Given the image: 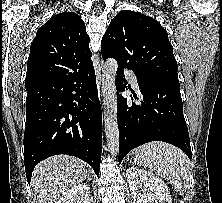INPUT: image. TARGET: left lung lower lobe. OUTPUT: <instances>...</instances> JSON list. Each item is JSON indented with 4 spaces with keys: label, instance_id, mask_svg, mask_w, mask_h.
<instances>
[{
    "label": "left lung lower lobe",
    "instance_id": "1",
    "mask_svg": "<svg viewBox=\"0 0 222 203\" xmlns=\"http://www.w3.org/2000/svg\"><path fill=\"white\" fill-rule=\"evenodd\" d=\"M116 89L125 91L124 69H117ZM141 105L117 98L119 126V163L132 149L150 142L163 141L183 150L192 158L188 128L183 115L179 81L170 78L137 77ZM137 98L136 95H134Z\"/></svg>",
    "mask_w": 222,
    "mask_h": 203
}]
</instances>
